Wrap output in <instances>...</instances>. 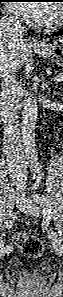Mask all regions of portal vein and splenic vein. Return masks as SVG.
I'll use <instances>...</instances> for the list:
<instances>
[{
  "instance_id": "18ae733b",
  "label": "portal vein and splenic vein",
  "mask_w": 63,
  "mask_h": 297,
  "mask_svg": "<svg viewBox=\"0 0 63 297\" xmlns=\"http://www.w3.org/2000/svg\"><path fill=\"white\" fill-rule=\"evenodd\" d=\"M54 81H63V76H59V75H57V76H54Z\"/></svg>"
}]
</instances>
